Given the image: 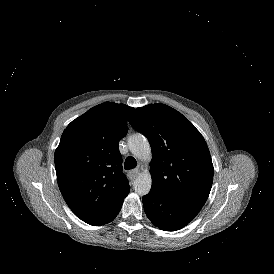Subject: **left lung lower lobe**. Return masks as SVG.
<instances>
[{"mask_svg": "<svg viewBox=\"0 0 274 274\" xmlns=\"http://www.w3.org/2000/svg\"><path fill=\"white\" fill-rule=\"evenodd\" d=\"M145 213L151 222L165 231H175L186 226L202 207L179 201L151 188L142 199Z\"/></svg>", "mask_w": 274, "mask_h": 274, "instance_id": "0a47b994", "label": "left lung lower lobe"}]
</instances>
